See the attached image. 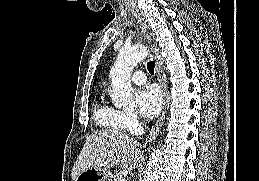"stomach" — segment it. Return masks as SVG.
I'll return each mask as SVG.
<instances>
[{
  "label": "stomach",
  "mask_w": 259,
  "mask_h": 181,
  "mask_svg": "<svg viewBox=\"0 0 259 181\" xmlns=\"http://www.w3.org/2000/svg\"><path fill=\"white\" fill-rule=\"evenodd\" d=\"M76 181H110V172L107 168L94 166L79 174Z\"/></svg>",
  "instance_id": "0dacf381"
}]
</instances>
